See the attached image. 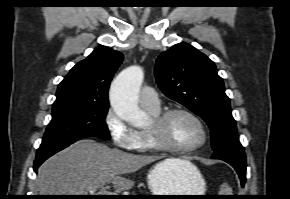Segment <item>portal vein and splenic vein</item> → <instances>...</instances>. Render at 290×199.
<instances>
[{"label":"portal vein and splenic vein","instance_id":"obj_1","mask_svg":"<svg viewBox=\"0 0 290 199\" xmlns=\"http://www.w3.org/2000/svg\"><path fill=\"white\" fill-rule=\"evenodd\" d=\"M94 193L95 191H90ZM97 195H114V193L107 190V186H103L97 193Z\"/></svg>","mask_w":290,"mask_h":199}]
</instances>
